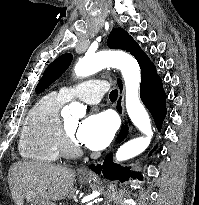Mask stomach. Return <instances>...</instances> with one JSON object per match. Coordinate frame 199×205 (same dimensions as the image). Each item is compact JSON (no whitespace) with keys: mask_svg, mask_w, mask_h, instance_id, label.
<instances>
[{"mask_svg":"<svg viewBox=\"0 0 199 205\" xmlns=\"http://www.w3.org/2000/svg\"><path fill=\"white\" fill-rule=\"evenodd\" d=\"M82 183H87L89 182L87 179L85 178H81L80 179ZM25 199L28 203H30V205H55L53 202L46 200L44 198L39 197L36 194H33L31 192H28L25 196Z\"/></svg>","mask_w":199,"mask_h":205,"instance_id":"obj_1","label":"stomach"}]
</instances>
